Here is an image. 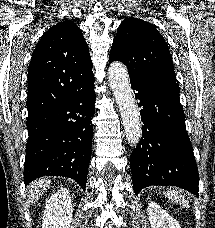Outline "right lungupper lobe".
<instances>
[{
	"label": "right lung upper lobe",
	"instance_id": "obj_1",
	"mask_svg": "<svg viewBox=\"0 0 215 228\" xmlns=\"http://www.w3.org/2000/svg\"><path fill=\"white\" fill-rule=\"evenodd\" d=\"M92 67L88 45L75 23L64 20L50 28L28 68L27 120L63 102L70 84L89 78Z\"/></svg>",
	"mask_w": 215,
	"mask_h": 228
}]
</instances>
